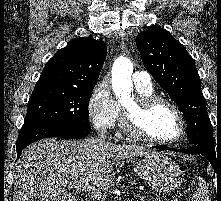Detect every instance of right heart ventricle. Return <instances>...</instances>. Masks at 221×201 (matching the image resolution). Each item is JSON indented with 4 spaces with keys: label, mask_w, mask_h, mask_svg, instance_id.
I'll use <instances>...</instances> for the list:
<instances>
[{
    "label": "right heart ventricle",
    "mask_w": 221,
    "mask_h": 201,
    "mask_svg": "<svg viewBox=\"0 0 221 201\" xmlns=\"http://www.w3.org/2000/svg\"><path fill=\"white\" fill-rule=\"evenodd\" d=\"M137 88L138 94L140 96H148V95H153L155 94L153 87H148V88Z\"/></svg>",
    "instance_id": "e07e8e85"
}]
</instances>
